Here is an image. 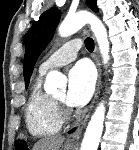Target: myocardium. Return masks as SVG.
I'll use <instances>...</instances> for the list:
<instances>
[{"label": "myocardium", "mask_w": 139, "mask_h": 150, "mask_svg": "<svg viewBox=\"0 0 139 150\" xmlns=\"http://www.w3.org/2000/svg\"><path fill=\"white\" fill-rule=\"evenodd\" d=\"M56 105L58 115L62 121H66L69 118V108L67 107L65 101L59 100L55 97H52Z\"/></svg>", "instance_id": "obj_1"}]
</instances>
